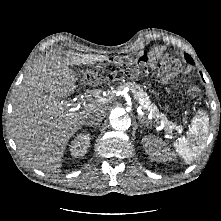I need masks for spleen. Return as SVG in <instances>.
<instances>
[{
	"instance_id": "obj_1",
	"label": "spleen",
	"mask_w": 221,
	"mask_h": 221,
	"mask_svg": "<svg viewBox=\"0 0 221 221\" xmlns=\"http://www.w3.org/2000/svg\"><path fill=\"white\" fill-rule=\"evenodd\" d=\"M209 134V118L206 112L199 111L193 118L186 136L178 138L174 147L178 155L191 163L203 151Z\"/></svg>"
}]
</instances>
